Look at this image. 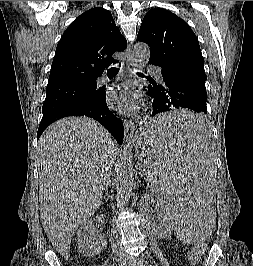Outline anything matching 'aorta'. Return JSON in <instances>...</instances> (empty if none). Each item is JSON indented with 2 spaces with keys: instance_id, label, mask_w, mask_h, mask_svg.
<instances>
[{
  "instance_id": "obj_1",
  "label": "aorta",
  "mask_w": 253,
  "mask_h": 266,
  "mask_svg": "<svg viewBox=\"0 0 253 266\" xmlns=\"http://www.w3.org/2000/svg\"><path fill=\"white\" fill-rule=\"evenodd\" d=\"M133 56L139 63L138 69L143 70L150 58L149 46L145 43H137L134 46ZM119 195L123 201H128L134 188V170L130 155H124L118 166Z\"/></svg>"
}]
</instances>
